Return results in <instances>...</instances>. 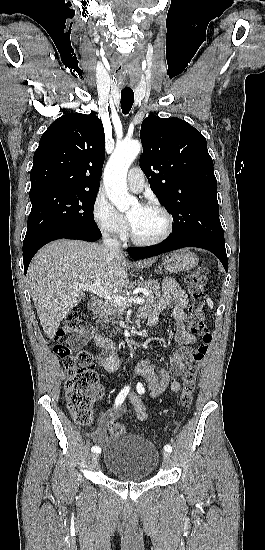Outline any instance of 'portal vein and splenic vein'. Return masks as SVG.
I'll return each mask as SVG.
<instances>
[{"label":"portal vein and splenic vein","instance_id":"obj_1","mask_svg":"<svg viewBox=\"0 0 265 550\" xmlns=\"http://www.w3.org/2000/svg\"><path fill=\"white\" fill-rule=\"evenodd\" d=\"M73 287H75L76 289H81L83 291H90V292H92V293H94V294H96L100 297H103V298L108 299V300H112L117 305L122 306V307L130 306L132 304V302L138 303V304L145 303V299L143 297L129 298V297L114 295L111 292L104 289L101 286L100 282H95L93 284H91V283L77 284V285H74Z\"/></svg>","mask_w":265,"mask_h":550}]
</instances>
